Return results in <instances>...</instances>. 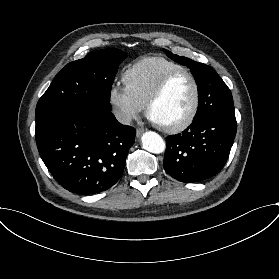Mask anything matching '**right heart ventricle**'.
<instances>
[{"mask_svg":"<svg viewBox=\"0 0 279 279\" xmlns=\"http://www.w3.org/2000/svg\"><path fill=\"white\" fill-rule=\"evenodd\" d=\"M182 69L185 67L164 57H146L126 72L125 82L147 102L152 91L167 74Z\"/></svg>","mask_w":279,"mask_h":279,"instance_id":"obj_1","label":"right heart ventricle"}]
</instances>
